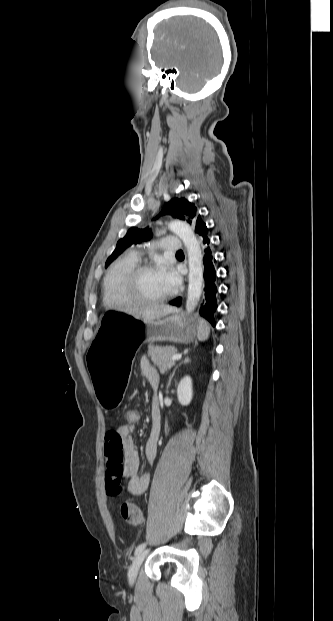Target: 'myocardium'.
Here are the masks:
<instances>
[{
    "mask_svg": "<svg viewBox=\"0 0 333 621\" xmlns=\"http://www.w3.org/2000/svg\"><path fill=\"white\" fill-rule=\"evenodd\" d=\"M159 269L160 267L157 264H139V265H136L134 268H132L125 275V277L123 278L121 282V293H122L123 298L129 304L148 305V306L158 305V304H162L168 301L172 296V292H169L167 295L157 298V299H148V298H144L140 296L136 291V284H137L138 278L142 274L146 272H150V271L159 270Z\"/></svg>",
    "mask_w": 333,
    "mask_h": 621,
    "instance_id": "1",
    "label": "myocardium"
}]
</instances>
